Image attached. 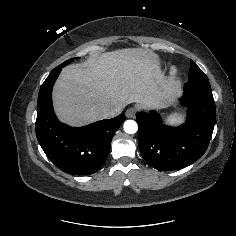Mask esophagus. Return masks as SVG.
Instances as JSON below:
<instances>
[{"instance_id":"34e87169","label":"esophagus","mask_w":236,"mask_h":236,"mask_svg":"<svg viewBox=\"0 0 236 236\" xmlns=\"http://www.w3.org/2000/svg\"><path fill=\"white\" fill-rule=\"evenodd\" d=\"M136 115V109L135 108H129L126 111V117L127 118H134Z\"/></svg>"}]
</instances>
